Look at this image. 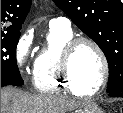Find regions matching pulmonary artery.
<instances>
[{
  "mask_svg": "<svg viewBox=\"0 0 123 113\" xmlns=\"http://www.w3.org/2000/svg\"><path fill=\"white\" fill-rule=\"evenodd\" d=\"M70 20L65 17H58L51 19L49 22L50 28H59V29H70Z\"/></svg>",
  "mask_w": 123,
  "mask_h": 113,
  "instance_id": "1",
  "label": "pulmonary artery"
}]
</instances>
